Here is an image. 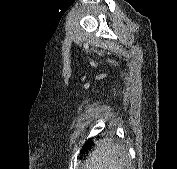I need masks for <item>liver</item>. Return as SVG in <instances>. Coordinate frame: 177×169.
<instances>
[{
    "mask_svg": "<svg viewBox=\"0 0 177 169\" xmlns=\"http://www.w3.org/2000/svg\"><path fill=\"white\" fill-rule=\"evenodd\" d=\"M125 160L126 155L117 144H108L89 153L82 169H130Z\"/></svg>",
    "mask_w": 177,
    "mask_h": 169,
    "instance_id": "6515ba94",
    "label": "liver"
}]
</instances>
